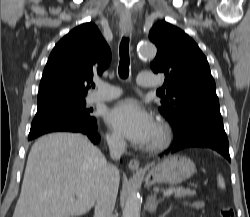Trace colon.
Here are the masks:
<instances>
[{"mask_svg":"<svg viewBox=\"0 0 250 217\" xmlns=\"http://www.w3.org/2000/svg\"><path fill=\"white\" fill-rule=\"evenodd\" d=\"M219 215L220 217H234L232 207L225 201L219 202Z\"/></svg>","mask_w":250,"mask_h":217,"instance_id":"colon-1","label":"colon"}]
</instances>
